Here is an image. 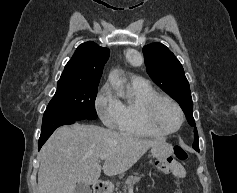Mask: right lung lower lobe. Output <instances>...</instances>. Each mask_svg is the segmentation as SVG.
<instances>
[{
  "label": "right lung lower lobe",
  "instance_id": "98d812e1",
  "mask_svg": "<svg viewBox=\"0 0 237 193\" xmlns=\"http://www.w3.org/2000/svg\"><path fill=\"white\" fill-rule=\"evenodd\" d=\"M77 120L64 117L62 115L44 113L41 135L39 139L38 149L46 142L55 129L62 125L73 124Z\"/></svg>",
  "mask_w": 237,
  "mask_h": 193
}]
</instances>
